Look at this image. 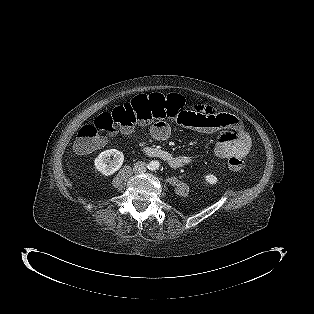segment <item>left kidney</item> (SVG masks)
<instances>
[{"mask_svg": "<svg viewBox=\"0 0 314 314\" xmlns=\"http://www.w3.org/2000/svg\"><path fill=\"white\" fill-rule=\"evenodd\" d=\"M205 180H206L207 183L212 184V185L216 184L217 181H218L217 177L215 175H213V174H207L205 176Z\"/></svg>", "mask_w": 314, "mask_h": 314, "instance_id": "obj_1", "label": "left kidney"}]
</instances>
